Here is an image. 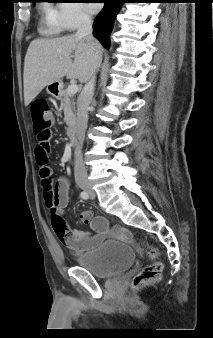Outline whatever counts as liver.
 Instances as JSON below:
<instances>
[{"mask_svg": "<svg viewBox=\"0 0 213 338\" xmlns=\"http://www.w3.org/2000/svg\"><path fill=\"white\" fill-rule=\"evenodd\" d=\"M101 54L102 47L98 41L74 34L33 40L24 61L25 105H29L45 86L64 76L78 79L81 83L88 82L100 65Z\"/></svg>", "mask_w": 213, "mask_h": 338, "instance_id": "liver-1", "label": "liver"}]
</instances>
